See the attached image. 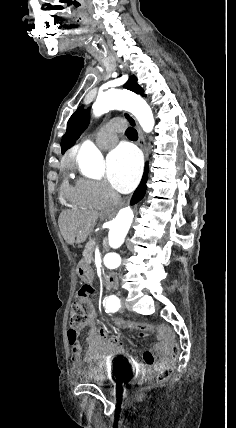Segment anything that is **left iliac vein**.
Instances as JSON below:
<instances>
[{
    "mask_svg": "<svg viewBox=\"0 0 236 428\" xmlns=\"http://www.w3.org/2000/svg\"><path fill=\"white\" fill-rule=\"evenodd\" d=\"M120 303H121V304H124V303H125L124 298H121Z\"/></svg>",
    "mask_w": 236,
    "mask_h": 428,
    "instance_id": "4c4485c4",
    "label": "left iliac vein"
}]
</instances>
